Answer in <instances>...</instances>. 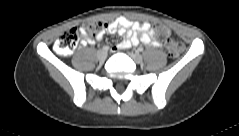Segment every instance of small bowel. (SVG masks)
Returning a JSON list of instances; mask_svg holds the SVG:
<instances>
[{
  "mask_svg": "<svg viewBox=\"0 0 239 136\" xmlns=\"http://www.w3.org/2000/svg\"><path fill=\"white\" fill-rule=\"evenodd\" d=\"M105 34H119L124 39L113 47V50L128 49L137 46L139 43L161 47L160 41L155 39L154 30L147 22L138 23L125 17H118L105 24L104 30L94 39H86L88 44H95L101 41Z\"/></svg>",
  "mask_w": 239,
  "mask_h": 136,
  "instance_id": "1",
  "label": "small bowel"
}]
</instances>
